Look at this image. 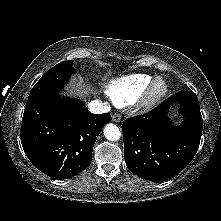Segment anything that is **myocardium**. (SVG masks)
<instances>
[{"mask_svg":"<svg viewBox=\"0 0 221 221\" xmlns=\"http://www.w3.org/2000/svg\"><path fill=\"white\" fill-rule=\"evenodd\" d=\"M158 83H162V88L156 90ZM169 84L162 76H156L146 86L140 97V106L145 110H149L157 106L168 94Z\"/></svg>","mask_w":221,"mask_h":221,"instance_id":"f54148a6","label":"myocardium"}]
</instances>
